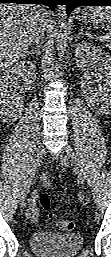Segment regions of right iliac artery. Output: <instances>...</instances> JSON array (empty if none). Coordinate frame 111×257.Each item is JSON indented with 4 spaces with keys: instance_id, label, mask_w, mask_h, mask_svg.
Segmentation results:
<instances>
[{
    "instance_id": "obj_1",
    "label": "right iliac artery",
    "mask_w": 111,
    "mask_h": 257,
    "mask_svg": "<svg viewBox=\"0 0 111 257\" xmlns=\"http://www.w3.org/2000/svg\"><path fill=\"white\" fill-rule=\"evenodd\" d=\"M30 186L27 185V183H25L24 189L23 190H28L29 191Z\"/></svg>"
}]
</instances>
